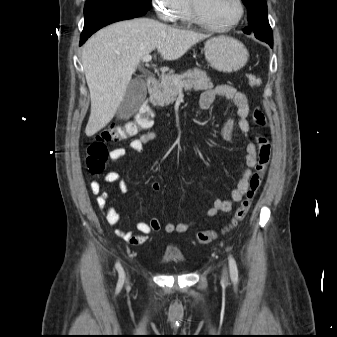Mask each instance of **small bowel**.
I'll list each match as a JSON object with an SVG mask.
<instances>
[{"mask_svg": "<svg viewBox=\"0 0 337 337\" xmlns=\"http://www.w3.org/2000/svg\"><path fill=\"white\" fill-rule=\"evenodd\" d=\"M221 96L231 101L235 109V117L228 118L218 131L219 136L222 139H230L235 129H238L245 136H249L250 126L247 120L250 106L247 96L237 90L231 85H219L214 89H206L202 92L198 107L202 110L209 109L213 104L216 97ZM157 138V134L154 131H148L142 133L138 137L129 142L126 147H115L109 151V159L111 161H118L128 152H141L145 144L153 141ZM245 168L242 171L236 187L231 191V198L229 200L214 199L211 207L207 210L206 215L208 217H214L220 212H228L232 207L240 202L245 195L249 179L252 175V169L257 163V150L253 143H249L246 148L245 155ZM103 181L109 184H116L117 191L125 192L128 189L127 182L123 179L120 173L116 171H108ZM90 190L93 194L97 195L96 205L103 212L107 222L110 225H117L120 222V215L113 207L107 206V201L110 196V191H103L101 182L93 180L90 184ZM151 190L153 192H159L161 190V184L157 181L151 183ZM196 224L195 221L189 222H168L165 225H161L160 220L156 217L149 219L148 221L138 222L136 225L137 233L126 231L123 229H116L115 234L127 241L132 245H140L148 240V236L152 233H156L163 229L167 233L178 232L184 233Z\"/></svg>", "mask_w": 337, "mask_h": 337, "instance_id": "1", "label": "small bowel"}]
</instances>
